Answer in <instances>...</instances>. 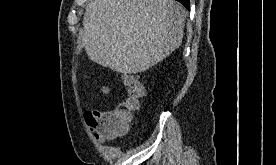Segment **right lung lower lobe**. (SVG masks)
Segmentation results:
<instances>
[{
    "label": "right lung lower lobe",
    "instance_id": "obj_1",
    "mask_svg": "<svg viewBox=\"0 0 276 165\" xmlns=\"http://www.w3.org/2000/svg\"><path fill=\"white\" fill-rule=\"evenodd\" d=\"M182 3L188 10L190 9L189 0H177Z\"/></svg>",
    "mask_w": 276,
    "mask_h": 165
}]
</instances>
